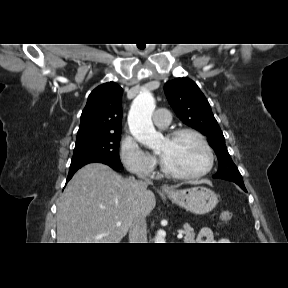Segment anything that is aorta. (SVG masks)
Masks as SVG:
<instances>
[{
    "label": "aorta",
    "instance_id": "1",
    "mask_svg": "<svg viewBox=\"0 0 288 288\" xmlns=\"http://www.w3.org/2000/svg\"><path fill=\"white\" fill-rule=\"evenodd\" d=\"M155 109V99L148 91L141 92L131 105L128 124L131 134L143 145L156 148L161 143V135L156 132L151 117ZM155 243H165L161 231L154 239Z\"/></svg>",
    "mask_w": 288,
    "mask_h": 288
}]
</instances>
